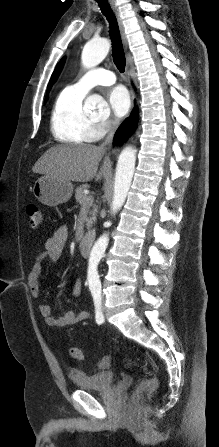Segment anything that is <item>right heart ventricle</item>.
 Instances as JSON below:
<instances>
[{
	"instance_id": "right-heart-ventricle-1",
	"label": "right heart ventricle",
	"mask_w": 219,
	"mask_h": 447,
	"mask_svg": "<svg viewBox=\"0 0 219 447\" xmlns=\"http://www.w3.org/2000/svg\"><path fill=\"white\" fill-rule=\"evenodd\" d=\"M84 95L69 86L58 94L50 121L52 134L57 141L66 144H84L93 142L101 136L96 122L83 110Z\"/></svg>"
}]
</instances>
